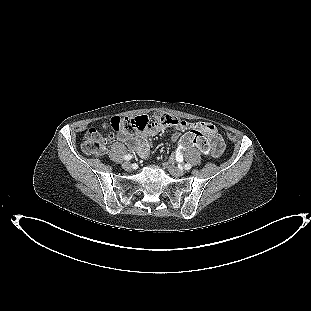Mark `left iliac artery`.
Returning a JSON list of instances; mask_svg holds the SVG:
<instances>
[{"label":"left iliac artery","instance_id":"1","mask_svg":"<svg viewBox=\"0 0 311 311\" xmlns=\"http://www.w3.org/2000/svg\"><path fill=\"white\" fill-rule=\"evenodd\" d=\"M184 169L185 170H190L191 169V164H185Z\"/></svg>","mask_w":311,"mask_h":311}]
</instances>
